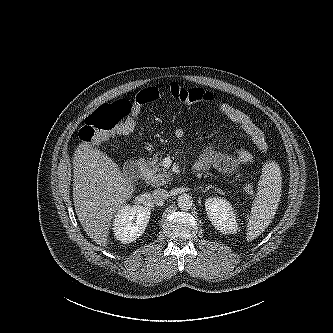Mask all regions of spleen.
Returning <instances> with one entry per match:
<instances>
[{"label": "spleen", "mask_w": 333, "mask_h": 333, "mask_svg": "<svg viewBox=\"0 0 333 333\" xmlns=\"http://www.w3.org/2000/svg\"><path fill=\"white\" fill-rule=\"evenodd\" d=\"M282 189V176L279 165L268 161L263 165L258 191L253 201L247 221L246 240L258 237L271 223L278 209Z\"/></svg>", "instance_id": "obj_1"}]
</instances>
